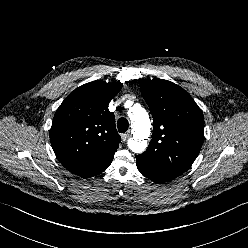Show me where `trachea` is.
Masks as SVG:
<instances>
[{
    "label": "trachea",
    "mask_w": 248,
    "mask_h": 248,
    "mask_svg": "<svg viewBox=\"0 0 248 248\" xmlns=\"http://www.w3.org/2000/svg\"><path fill=\"white\" fill-rule=\"evenodd\" d=\"M117 126L120 133H125L128 130L129 122L126 118H120Z\"/></svg>",
    "instance_id": "obj_1"
}]
</instances>
